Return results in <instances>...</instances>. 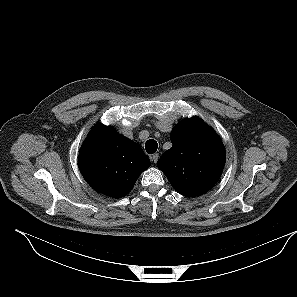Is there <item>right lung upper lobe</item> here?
Masks as SVG:
<instances>
[{"mask_svg":"<svg viewBox=\"0 0 297 297\" xmlns=\"http://www.w3.org/2000/svg\"><path fill=\"white\" fill-rule=\"evenodd\" d=\"M78 165L94 190L120 198L132 190L150 160L137 143L112 127L97 124L80 149Z\"/></svg>","mask_w":297,"mask_h":297,"instance_id":"cb5924a9","label":"right lung upper lobe"}]
</instances>
